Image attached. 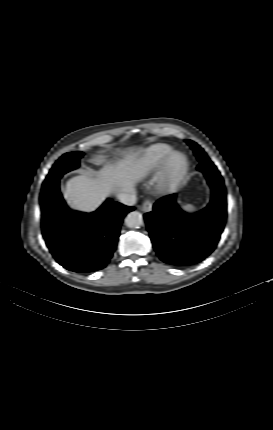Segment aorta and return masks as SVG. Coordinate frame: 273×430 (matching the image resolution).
Wrapping results in <instances>:
<instances>
[{
  "mask_svg": "<svg viewBox=\"0 0 273 430\" xmlns=\"http://www.w3.org/2000/svg\"><path fill=\"white\" fill-rule=\"evenodd\" d=\"M143 223H144L143 216L138 211L130 212L125 218V224L129 228H138L141 225H143Z\"/></svg>",
  "mask_w": 273,
  "mask_h": 430,
  "instance_id": "1",
  "label": "aorta"
}]
</instances>
